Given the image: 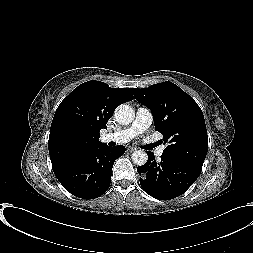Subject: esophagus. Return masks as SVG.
Wrapping results in <instances>:
<instances>
[{"label": "esophagus", "instance_id": "1", "mask_svg": "<svg viewBox=\"0 0 253 253\" xmlns=\"http://www.w3.org/2000/svg\"><path fill=\"white\" fill-rule=\"evenodd\" d=\"M137 148L136 147H131V146H129L128 148H127V150L129 151V152H133V151H135Z\"/></svg>", "mask_w": 253, "mask_h": 253}]
</instances>
